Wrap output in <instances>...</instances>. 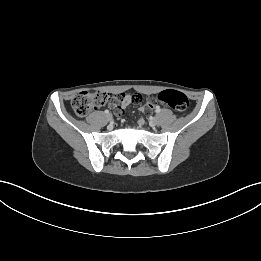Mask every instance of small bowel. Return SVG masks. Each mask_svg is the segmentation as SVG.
<instances>
[{
	"label": "small bowel",
	"instance_id": "small-bowel-1",
	"mask_svg": "<svg viewBox=\"0 0 261 261\" xmlns=\"http://www.w3.org/2000/svg\"><path fill=\"white\" fill-rule=\"evenodd\" d=\"M131 102L137 107H141V112H146L147 110H150L153 104L152 99H150L148 96L135 92L130 95L125 93L120 94L119 104L113 102L110 104V107L121 113L129 106Z\"/></svg>",
	"mask_w": 261,
	"mask_h": 261
}]
</instances>
